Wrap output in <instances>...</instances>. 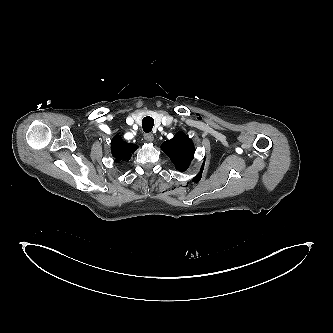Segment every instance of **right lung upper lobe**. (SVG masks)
Returning <instances> with one entry per match:
<instances>
[{
    "mask_svg": "<svg viewBox=\"0 0 333 333\" xmlns=\"http://www.w3.org/2000/svg\"><path fill=\"white\" fill-rule=\"evenodd\" d=\"M137 148L138 147L134 144L124 142L119 135L114 137L111 144V151L116 162L129 160L131 153H133Z\"/></svg>",
    "mask_w": 333,
    "mask_h": 333,
    "instance_id": "1",
    "label": "right lung upper lobe"
}]
</instances>
